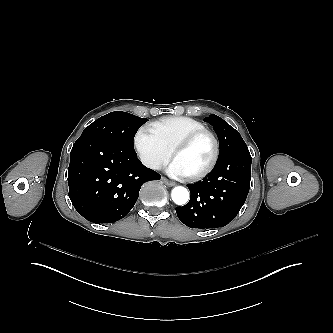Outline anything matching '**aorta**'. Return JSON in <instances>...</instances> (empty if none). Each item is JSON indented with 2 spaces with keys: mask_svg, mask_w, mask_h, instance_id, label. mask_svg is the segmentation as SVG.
I'll return each instance as SVG.
<instances>
[{
  "mask_svg": "<svg viewBox=\"0 0 333 333\" xmlns=\"http://www.w3.org/2000/svg\"><path fill=\"white\" fill-rule=\"evenodd\" d=\"M172 196V201L176 204V205H185L188 201H189V192L186 188L182 187V186H177L172 190L171 193Z\"/></svg>",
  "mask_w": 333,
  "mask_h": 333,
  "instance_id": "1",
  "label": "aorta"
}]
</instances>
